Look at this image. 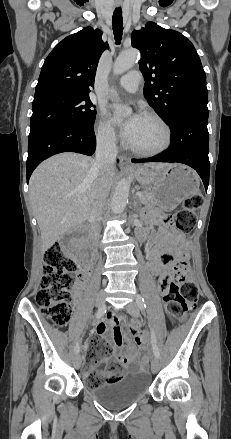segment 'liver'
Segmentation results:
<instances>
[{"label": "liver", "mask_w": 231, "mask_h": 439, "mask_svg": "<svg viewBox=\"0 0 231 439\" xmlns=\"http://www.w3.org/2000/svg\"><path fill=\"white\" fill-rule=\"evenodd\" d=\"M95 160L85 155L60 153L42 162L29 181L31 204L40 228L42 253L69 230L84 223L91 214L98 188ZM167 164L149 163L160 169ZM116 170L109 175L110 187Z\"/></svg>", "instance_id": "liver-1"}]
</instances>
